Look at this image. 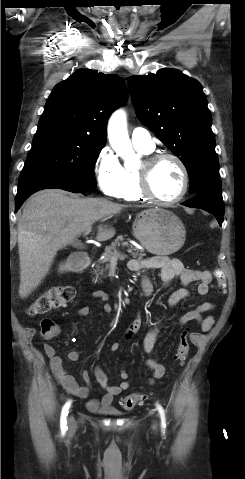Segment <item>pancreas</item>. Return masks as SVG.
<instances>
[{
    "mask_svg": "<svg viewBox=\"0 0 245 479\" xmlns=\"http://www.w3.org/2000/svg\"><path fill=\"white\" fill-rule=\"evenodd\" d=\"M125 239L122 235L117 236V238L114 240V242L111 243V245L107 246L105 248V252L103 253L104 258L100 261V264H105V267H100L99 265L97 266V276L103 275L104 272L107 271L109 268V262L112 260L115 252L117 251V248L122 246H125ZM135 252L132 253V256L134 258H139L142 259L146 254L143 253L142 251H139L137 249H134Z\"/></svg>",
    "mask_w": 245,
    "mask_h": 479,
    "instance_id": "obj_1",
    "label": "pancreas"
}]
</instances>
